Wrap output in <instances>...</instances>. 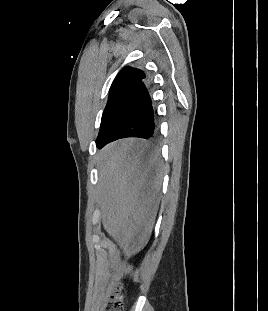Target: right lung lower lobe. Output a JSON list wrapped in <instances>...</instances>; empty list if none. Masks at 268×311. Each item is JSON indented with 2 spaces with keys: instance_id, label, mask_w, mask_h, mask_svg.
<instances>
[{
  "instance_id": "obj_1",
  "label": "right lung lower lobe",
  "mask_w": 268,
  "mask_h": 311,
  "mask_svg": "<svg viewBox=\"0 0 268 311\" xmlns=\"http://www.w3.org/2000/svg\"><path fill=\"white\" fill-rule=\"evenodd\" d=\"M157 112L143 80L135 89L110 129L96 142L98 148L125 137L155 139L158 134Z\"/></svg>"
}]
</instances>
